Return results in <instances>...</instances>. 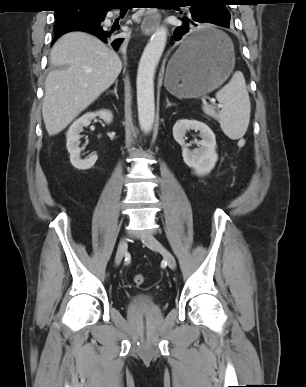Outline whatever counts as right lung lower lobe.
Listing matches in <instances>:
<instances>
[{"instance_id":"right-lung-lower-lobe-1","label":"right lung lower lobe","mask_w":306,"mask_h":387,"mask_svg":"<svg viewBox=\"0 0 306 387\" xmlns=\"http://www.w3.org/2000/svg\"><path fill=\"white\" fill-rule=\"evenodd\" d=\"M111 9H112L111 7L108 9H100L97 15H95L94 18L89 20L90 21L89 23L77 24L71 28L55 32L56 37L54 41L64 33H67L70 31H84V32H88L93 35H96L103 42L109 43L115 49H117L120 46V44L123 42L122 38H116L118 27L110 28V27H106L103 24V20L106 16V13Z\"/></svg>"}]
</instances>
